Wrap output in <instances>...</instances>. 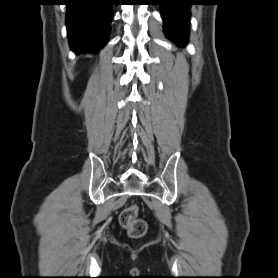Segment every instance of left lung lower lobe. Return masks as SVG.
Returning <instances> with one entry per match:
<instances>
[{
  "mask_svg": "<svg viewBox=\"0 0 278 278\" xmlns=\"http://www.w3.org/2000/svg\"><path fill=\"white\" fill-rule=\"evenodd\" d=\"M165 33L180 45L188 40L189 10L192 0H159Z\"/></svg>",
  "mask_w": 278,
  "mask_h": 278,
  "instance_id": "1",
  "label": "left lung lower lobe"
}]
</instances>
